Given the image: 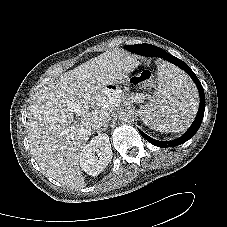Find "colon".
Masks as SVG:
<instances>
[{"label":"colon","mask_w":227,"mask_h":227,"mask_svg":"<svg viewBox=\"0 0 227 227\" xmlns=\"http://www.w3.org/2000/svg\"><path fill=\"white\" fill-rule=\"evenodd\" d=\"M153 79V71L149 69L140 68L132 73L131 81L133 84L149 85Z\"/></svg>","instance_id":"1"}]
</instances>
